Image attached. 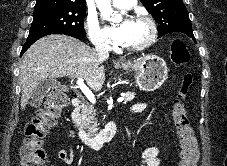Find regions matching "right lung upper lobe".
<instances>
[{"instance_id": "1", "label": "right lung upper lobe", "mask_w": 227, "mask_h": 166, "mask_svg": "<svg viewBox=\"0 0 227 166\" xmlns=\"http://www.w3.org/2000/svg\"><path fill=\"white\" fill-rule=\"evenodd\" d=\"M48 4L86 6L85 0H37L36 2V5Z\"/></svg>"}]
</instances>
